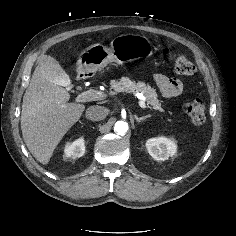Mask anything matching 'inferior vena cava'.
<instances>
[{
	"mask_svg": "<svg viewBox=\"0 0 236 236\" xmlns=\"http://www.w3.org/2000/svg\"><path fill=\"white\" fill-rule=\"evenodd\" d=\"M107 114H108L107 109L103 106H98V105L90 106L86 110V117L93 121H100L104 119Z\"/></svg>",
	"mask_w": 236,
	"mask_h": 236,
	"instance_id": "1",
	"label": "inferior vena cava"
}]
</instances>
